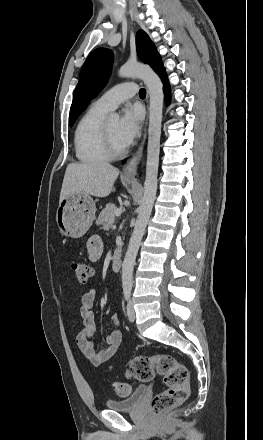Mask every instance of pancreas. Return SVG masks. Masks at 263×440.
<instances>
[{
	"instance_id": "obj_1",
	"label": "pancreas",
	"mask_w": 263,
	"mask_h": 440,
	"mask_svg": "<svg viewBox=\"0 0 263 440\" xmlns=\"http://www.w3.org/2000/svg\"><path fill=\"white\" fill-rule=\"evenodd\" d=\"M119 210L114 204L109 203L99 214L96 220L97 225H102L103 229L108 230L110 226L114 223L115 211ZM121 248H118L115 252H119Z\"/></svg>"
}]
</instances>
